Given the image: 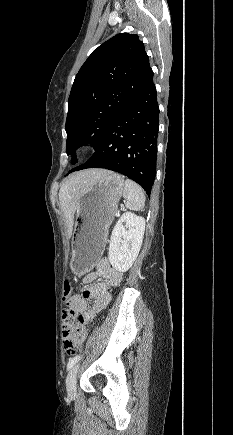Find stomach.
Listing matches in <instances>:
<instances>
[{"instance_id":"stomach-1","label":"stomach","mask_w":233,"mask_h":435,"mask_svg":"<svg viewBox=\"0 0 233 435\" xmlns=\"http://www.w3.org/2000/svg\"><path fill=\"white\" fill-rule=\"evenodd\" d=\"M123 192L124 178L109 171L83 194L76 209L71 241L70 268L75 275L90 272L101 257L108 227Z\"/></svg>"}]
</instances>
